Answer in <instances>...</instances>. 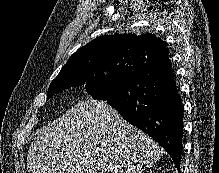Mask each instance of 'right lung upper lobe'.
Returning a JSON list of instances; mask_svg holds the SVG:
<instances>
[{
	"label": "right lung upper lobe",
	"instance_id": "obj_1",
	"mask_svg": "<svg viewBox=\"0 0 219 173\" xmlns=\"http://www.w3.org/2000/svg\"><path fill=\"white\" fill-rule=\"evenodd\" d=\"M168 53L167 44L149 33L141 36L132 33L104 35L78 49L58 76L67 72L82 74L115 62H126L135 67L146 61L164 62L169 60Z\"/></svg>",
	"mask_w": 219,
	"mask_h": 173
}]
</instances>
